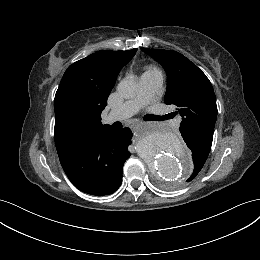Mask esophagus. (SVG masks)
<instances>
[{
    "label": "esophagus",
    "mask_w": 260,
    "mask_h": 260,
    "mask_svg": "<svg viewBox=\"0 0 260 260\" xmlns=\"http://www.w3.org/2000/svg\"><path fill=\"white\" fill-rule=\"evenodd\" d=\"M137 125H144V124H146L144 121H138L137 123H136Z\"/></svg>",
    "instance_id": "obj_1"
}]
</instances>
